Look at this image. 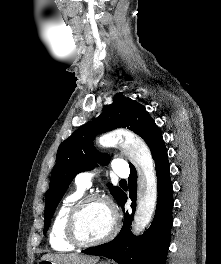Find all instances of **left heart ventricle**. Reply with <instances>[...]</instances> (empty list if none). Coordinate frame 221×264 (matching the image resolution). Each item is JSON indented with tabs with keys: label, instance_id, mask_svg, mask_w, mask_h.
Masks as SVG:
<instances>
[{
	"label": "left heart ventricle",
	"instance_id": "1",
	"mask_svg": "<svg viewBox=\"0 0 221 264\" xmlns=\"http://www.w3.org/2000/svg\"><path fill=\"white\" fill-rule=\"evenodd\" d=\"M111 223L112 215L109 208L99 202H90L81 211L78 232L86 241L98 240L109 232Z\"/></svg>",
	"mask_w": 221,
	"mask_h": 264
}]
</instances>
